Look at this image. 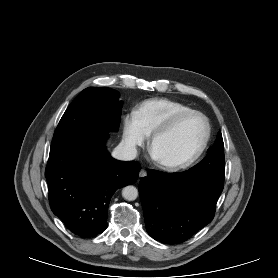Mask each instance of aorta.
Wrapping results in <instances>:
<instances>
[{
	"label": "aorta",
	"instance_id": "aorta-1",
	"mask_svg": "<svg viewBox=\"0 0 278 278\" xmlns=\"http://www.w3.org/2000/svg\"><path fill=\"white\" fill-rule=\"evenodd\" d=\"M122 196L125 200L133 201L138 197V190L132 185L126 186L122 190Z\"/></svg>",
	"mask_w": 278,
	"mask_h": 278
}]
</instances>
